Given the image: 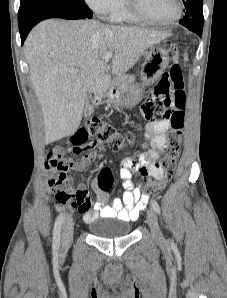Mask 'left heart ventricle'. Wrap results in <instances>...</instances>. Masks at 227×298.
<instances>
[{"mask_svg": "<svg viewBox=\"0 0 227 298\" xmlns=\"http://www.w3.org/2000/svg\"><path fill=\"white\" fill-rule=\"evenodd\" d=\"M141 8L150 17L167 20L176 13L175 0H139Z\"/></svg>", "mask_w": 227, "mask_h": 298, "instance_id": "b2bd125f", "label": "left heart ventricle"}]
</instances>
